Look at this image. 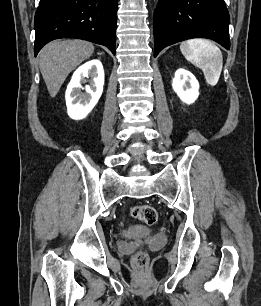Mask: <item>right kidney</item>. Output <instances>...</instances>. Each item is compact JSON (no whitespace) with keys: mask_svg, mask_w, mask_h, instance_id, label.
<instances>
[{"mask_svg":"<svg viewBox=\"0 0 261 306\" xmlns=\"http://www.w3.org/2000/svg\"><path fill=\"white\" fill-rule=\"evenodd\" d=\"M90 78V85L82 87V83ZM104 85L102 63L93 59L81 65L73 74L67 86L65 99L68 115L75 120L85 118L100 99ZM85 89V93L81 92Z\"/></svg>","mask_w":261,"mask_h":306,"instance_id":"1","label":"right kidney"}]
</instances>
